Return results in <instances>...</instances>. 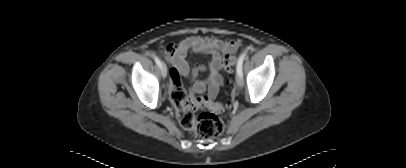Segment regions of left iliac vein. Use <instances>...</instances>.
<instances>
[{
    "label": "left iliac vein",
    "instance_id": "4c4485c4",
    "mask_svg": "<svg viewBox=\"0 0 406 168\" xmlns=\"http://www.w3.org/2000/svg\"><path fill=\"white\" fill-rule=\"evenodd\" d=\"M236 84L238 87H242L244 85L243 77L239 74L236 75Z\"/></svg>",
    "mask_w": 406,
    "mask_h": 168
}]
</instances>
